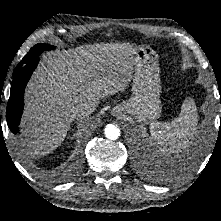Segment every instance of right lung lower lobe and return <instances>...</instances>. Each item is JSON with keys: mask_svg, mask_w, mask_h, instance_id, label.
<instances>
[{"mask_svg": "<svg viewBox=\"0 0 221 221\" xmlns=\"http://www.w3.org/2000/svg\"><path fill=\"white\" fill-rule=\"evenodd\" d=\"M39 62V57L24 62H20L13 73V81L11 84L10 98L6 110L7 124L11 132L16 134L19 131L18 125L24 105V89L25 86Z\"/></svg>", "mask_w": 221, "mask_h": 221, "instance_id": "98d812e1", "label": "right lung lower lobe"}]
</instances>
